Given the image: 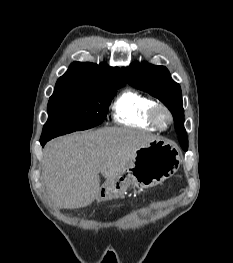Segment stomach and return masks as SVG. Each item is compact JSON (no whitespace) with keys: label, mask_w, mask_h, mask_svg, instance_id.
Returning a JSON list of instances; mask_svg holds the SVG:
<instances>
[{"label":"stomach","mask_w":233,"mask_h":263,"mask_svg":"<svg viewBox=\"0 0 233 263\" xmlns=\"http://www.w3.org/2000/svg\"><path fill=\"white\" fill-rule=\"evenodd\" d=\"M180 164L179 149L171 142L157 138L139 147L124 170L115 179L105 182L97 201L122 197L130 186L154 187L173 176Z\"/></svg>","instance_id":"obj_1"}]
</instances>
